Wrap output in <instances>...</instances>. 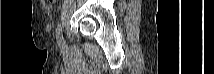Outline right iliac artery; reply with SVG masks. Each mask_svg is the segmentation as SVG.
Segmentation results:
<instances>
[{"label": "right iliac artery", "mask_w": 214, "mask_h": 74, "mask_svg": "<svg viewBox=\"0 0 214 74\" xmlns=\"http://www.w3.org/2000/svg\"><path fill=\"white\" fill-rule=\"evenodd\" d=\"M56 38L58 45L61 47V49H64L65 43L63 41L61 25H58Z\"/></svg>", "instance_id": "82829eb1"}]
</instances>
